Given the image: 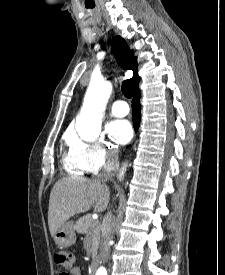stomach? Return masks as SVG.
I'll list each match as a JSON object with an SVG mask.
<instances>
[{"instance_id": "obj_1", "label": "stomach", "mask_w": 225, "mask_h": 275, "mask_svg": "<svg viewBox=\"0 0 225 275\" xmlns=\"http://www.w3.org/2000/svg\"><path fill=\"white\" fill-rule=\"evenodd\" d=\"M55 243L60 247H69L76 241V234L72 222L63 224L54 234Z\"/></svg>"}]
</instances>
